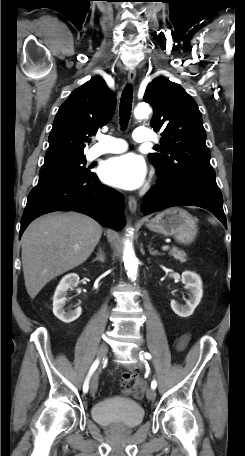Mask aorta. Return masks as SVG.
<instances>
[{
    "instance_id": "aorta-1",
    "label": "aorta",
    "mask_w": 245,
    "mask_h": 456,
    "mask_svg": "<svg viewBox=\"0 0 245 456\" xmlns=\"http://www.w3.org/2000/svg\"><path fill=\"white\" fill-rule=\"evenodd\" d=\"M151 114V108L147 103H139L134 110L137 119H143ZM123 261L127 275L131 279H136L138 271V259L135 256L132 242L129 239L124 241Z\"/></svg>"
}]
</instances>
